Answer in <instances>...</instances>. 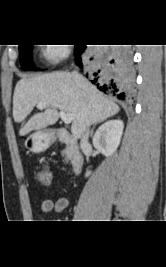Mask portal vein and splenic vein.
<instances>
[{"label": "portal vein and splenic vein", "mask_w": 166, "mask_h": 267, "mask_svg": "<svg viewBox=\"0 0 166 267\" xmlns=\"http://www.w3.org/2000/svg\"><path fill=\"white\" fill-rule=\"evenodd\" d=\"M46 106V103L45 102H39L37 104V107L38 108H44ZM60 115V118L62 119V121L65 123V124H70L73 120V115L70 114V113H65L63 111H60L59 113Z\"/></svg>", "instance_id": "portal-vein-and-splenic-vein-1"}]
</instances>
